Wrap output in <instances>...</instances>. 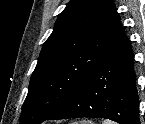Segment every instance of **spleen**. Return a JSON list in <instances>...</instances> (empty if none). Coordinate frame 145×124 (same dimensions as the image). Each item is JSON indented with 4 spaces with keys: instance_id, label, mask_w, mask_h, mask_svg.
I'll return each mask as SVG.
<instances>
[{
    "instance_id": "spleen-1",
    "label": "spleen",
    "mask_w": 145,
    "mask_h": 124,
    "mask_svg": "<svg viewBox=\"0 0 145 124\" xmlns=\"http://www.w3.org/2000/svg\"><path fill=\"white\" fill-rule=\"evenodd\" d=\"M103 124H115V123H113L111 121H104Z\"/></svg>"
}]
</instances>
